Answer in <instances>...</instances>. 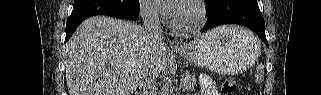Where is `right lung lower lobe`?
I'll return each mask as SVG.
<instances>
[{"label":"right lung lower lobe","mask_w":321,"mask_h":95,"mask_svg":"<svg viewBox=\"0 0 321 95\" xmlns=\"http://www.w3.org/2000/svg\"><path fill=\"white\" fill-rule=\"evenodd\" d=\"M94 15H108L111 17L126 19V20H135L138 17V12L133 14H117V13H81V14H71L67 20L66 24V38L65 41H68L69 38L73 35L74 31L78 25L85 20L86 18Z\"/></svg>","instance_id":"1"}]
</instances>
